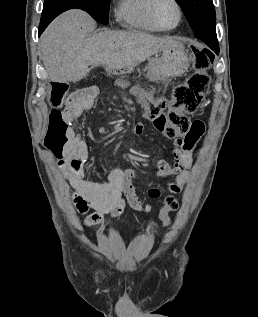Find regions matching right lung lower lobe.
Segmentation results:
<instances>
[{
    "label": "right lung lower lobe",
    "instance_id": "obj_1",
    "mask_svg": "<svg viewBox=\"0 0 258 317\" xmlns=\"http://www.w3.org/2000/svg\"><path fill=\"white\" fill-rule=\"evenodd\" d=\"M88 2V0H44V7L39 25V36L55 17L66 10L81 9L93 17L94 10L91 9Z\"/></svg>",
    "mask_w": 258,
    "mask_h": 317
}]
</instances>
